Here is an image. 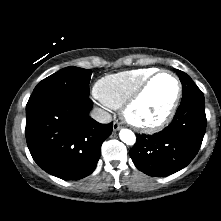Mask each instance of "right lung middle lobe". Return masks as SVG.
I'll return each instance as SVG.
<instances>
[{
    "label": "right lung middle lobe",
    "mask_w": 221,
    "mask_h": 221,
    "mask_svg": "<svg viewBox=\"0 0 221 221\" xmlns=\"http://www.w3.org/2000/svg\"><path fill=\"white\" fill-rule=\"evenodd\" d=\"M91 70L66 67L45 78L33 90L27 105L64 94L89 95Z\"/></svg>",
    "instance_id": "obj_1"
}]
</instances>
